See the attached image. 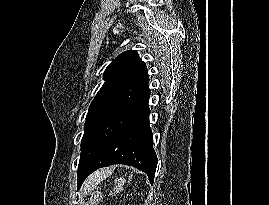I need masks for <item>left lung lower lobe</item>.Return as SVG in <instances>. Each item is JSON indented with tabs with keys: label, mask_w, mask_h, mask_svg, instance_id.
<instances>
[{
	"label": "left lung lower lobe",
	"mask_w": 269,
	"mask_h": 205,
	"mask_svg": "<svg viewBox=\"0 0 269 205\" xmlns=\"http://www.w3.org/2000/svg\"><path fill=\"white\" fill-rule=\"evenodd\" d=\"M149 97L146 88L95 132L80 155L78 189L93 171L114 164L133 166L153 183L158 159L149 126Z\"/></svg>",
	"instance_id": "1"
}]
</instances>
